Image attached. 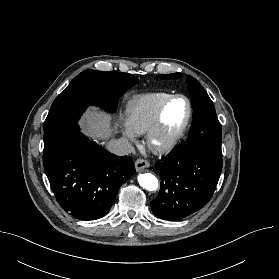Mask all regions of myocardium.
Segmentation results:
<instances>
[{"instance_id": "myocardium-1", "label": "myocardium", "mask_w": 279, "mask_h": 279, "mask_svg": "<svg viewBox=\"0 0 279 279\" xmlns=\"http://www.w3.org/2000/svg\"><path fill=\"white\" fill-rule=\"evenodd\" d=\"M176 99H182L186 102L187 105L186 118L183 124L181 125V127L177 131H175L171 135L162 136L163 117H164L165 110L168 107V105ZM192 113H193V109H192L191 101L187 96L183 94L171 95L167 100H165L164 103L159 108L155 121L147 133V144L150 150L155 154H166L171 150H173L185 135L189 127V124L191 122Z\"/></svg>"}]
</instances>
